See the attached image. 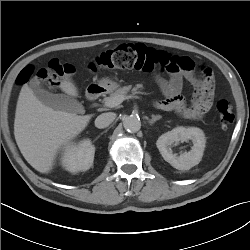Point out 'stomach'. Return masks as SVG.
Wrapping results in <instances>:
<instances>
[{"label": "stomach", "mask_w": 250, "mask_h": 250, "mask_svg": "<svg viewBox=\"0 0 250 250\" xmlns=\"http://www.w3.org/2000/svg\"><path fill=\"white\" fill-rule=\"evenodd\" d=\"M98 86L106 92H112L119 87V83L111 78L105 77L98 81Z\"/></svg>", "instance_id": "obj_1"}]
</instances>
